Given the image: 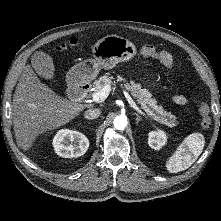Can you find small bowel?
Masks as SVG:
<instances>
[{"label":"small bowel","mask_w":221,"mask_h":221,"mask_svg":"<svg viewBox=\"0 0 221 221\" xmlns=\"http://www.w3.org/2000/svg\"><path fill=\"white\" fill-rule=\"evenodd\" d=\"M173 101L176 103V104H179V105H184L187 103V99L182 96V95H175L173 97Z\"/></svg>","instance_id":"1"}]
</instances>
